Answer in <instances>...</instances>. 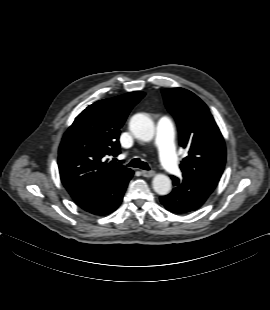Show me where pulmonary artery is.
Masks as SVG:
<instances>
[{
    "label": "pulmonary artery",
    "mask_w": 270,
    "mask_h": 310,
    "mask_svg": "<svg viewBox=\"0 0 270 310\" xmlns=\"http://www.w3.org/2000/svg\"><path fill=\"white\" fill-rule=\"evenodd\" d=\"M156 144L162 165L170 174L178 175V165L174 147V127L169 117H161L157 123Z\"/></svg>",
    "instance_id": "e3ab8cb5"
}]
</instances>
